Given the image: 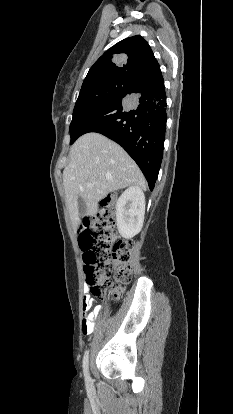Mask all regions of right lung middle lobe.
<instances>
[{
    "mask_svg": "<svg viewBox=\"0 0 233 414\" xmlns=\"http://www.w3.org/2000/svg\"><path fill=\"white\" fill-rule=\"evenodd\" d=\"M132 84L133 82L127 79L104 77L83 85L73 110L70 144H73L79 137V127L91 113L123 95Z\"/></svg>",
    "mask_w": 233,
    "mask_h": 414,
    "instance_id": "1",
    "label": "right lung middle lobe"
}]
</instances>
